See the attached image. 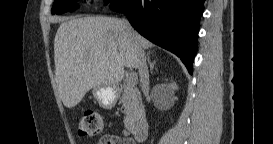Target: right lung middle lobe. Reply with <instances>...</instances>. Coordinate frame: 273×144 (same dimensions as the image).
I'll use <instances>...</instances> for the list:
<instances>
[{"instance_id": "right-lung-middle-lobe-1", "label": "right lung middle lobe", "mask_w": 273, "mask_h": 144, "mask_svg": "<svg viewBox=\"0 0 273 144\" xmlns=\"http://www.w3.org/2000/svg\"><path fill=\"white\" fill-rule=\"evenodd\" d=\"M78 0H55L52 7V14H62L67 11H72L77 8V5L74 4ZM112 0H105L106 3L111 2Z\"/></svg>"}]
</instances>
